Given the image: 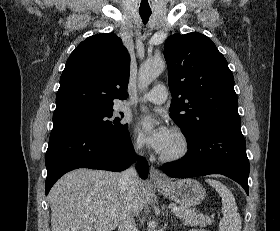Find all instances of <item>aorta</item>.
I'll use <instances>...</instances> for the list:
<instances>
[{"label": "aorta", "instance_id": "762f6f07", "mask_svg": "<svg viewBox=\"0 0 280 231\" xmlns=\"http://www.w3.org/2000/svg\"><path fill=\"white\" fill-rule=\"evenodd\" d=\"M166 64L164 60H147L139 70V84L140 88H147L153 80H156L162 72H164ZM142 112H147V108H142ZM154 127V121L152 119H146L143 123V129L145 131H151ZM150 227H153V223H149L148 231Z\"/></svg>", "mask_w": 280, "mask_h": 231}]
</instances>
